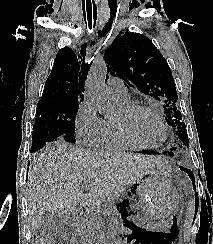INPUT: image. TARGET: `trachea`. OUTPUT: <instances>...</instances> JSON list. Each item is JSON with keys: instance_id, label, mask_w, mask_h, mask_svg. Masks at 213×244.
<instances>
[{"instance_id": "trachea-1", "label": "trachea", "mask_w": 213, "mask_h": 244, "mask_svg": "<svg viewBox=\"0 0 213 244\" xmlns=\"http://www.w3.org/2000/svg\"><path fill=\"white\" fill-rule=\"evenodd\" d=\"M83 13H84V16L86 17L87 15V21H88V25H89V28L91 29L92 28V23L93 25L95 26L96 24V19H97V9L96 7H92L91 8H85L83 9Z\"/></svg>"}]
</instances>
